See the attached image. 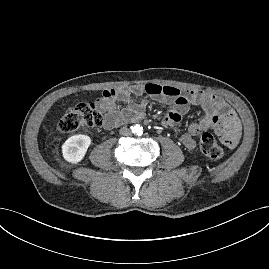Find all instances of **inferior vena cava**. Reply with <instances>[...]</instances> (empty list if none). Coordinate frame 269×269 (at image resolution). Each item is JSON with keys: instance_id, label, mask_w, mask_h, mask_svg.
<instances>
[{"instance_id": "602c4592", "label": "inferior vena cava", "mask_w": 269, "mask_h": 269, "mask_svg": "<svg viewBox=\"0 0 269 269\" xmlns=\"http://www.w3.org/2000/svg\"><path fill=\"white\" fill-rule=\"evenodd\" d=\"M122 133L125 135H131V131L128 128H123Z\"/></svg>"}]
</instances>
